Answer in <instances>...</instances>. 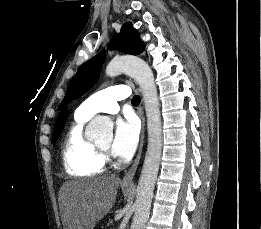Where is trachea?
Segmentation results:
<instances>
[{
  "label": "trachea",
  "mask_w": 261,
  "mask_h": 229,
  "mask_svg": "<svg viewBox=\"0 0 261 229\" xmlns=\"http://www.w3.org/2000/svg\"><path fill=\"white\" fill-rule=\"evenodd\" d=\"M140 101H141V99H140L139 95H135V96L132 98V101H131V102H132L133 105L137 106V105L140 104Z\"/></svg>",
  "instance_id": "3493384b"
}]
</instances>
